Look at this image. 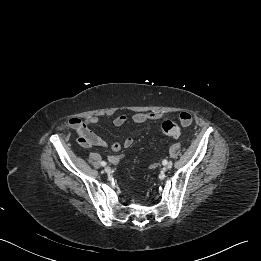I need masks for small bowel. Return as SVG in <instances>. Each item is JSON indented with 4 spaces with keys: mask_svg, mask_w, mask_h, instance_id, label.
I'll list each match as a JSON object with an SVG mask.
<instances>
[{
    "mask_svg": "<svg viewBox=\"0 0 261 261\" xmlns=\"http://www.w3.org/2000/svg\"><path fill=\"white\" fill-rule=\"evenodd\" d=\"M166 117V114L164 112H149V113H143V112H137L134 113L131 118H129L126 115L120 114L117 115L113 119V124L117 127H120L124 124H126L130 119L139 124H145L149 121H158ZM192 115L187 111H182L179 114V120L182 124V126L187 127L192 122ZM188 120V121H185ZM99 122V118L96 116H90L87 117L85 120H81L80 118L74 117L71 118L68 122L70 128H72L77 134H78V142L83 147H90V146H98V147H106L107 143L105 140H103L101 137L96 135L94 132H92L89 129V125L96 124ZM133 143V137L132 133H129V135L125 138L123 144L119 142H114L111 145V148L114 152H119L122 147L128 148ZM113 161H116L118 157H112Z\"/></svg>",
    "mask_w": 261,
    "mask_h": 261,
    "instance_id": "c3829d8e",
    "label": "small bowel"
}]
</instances>
